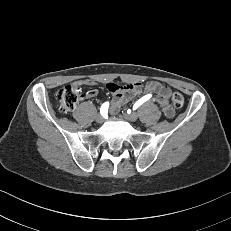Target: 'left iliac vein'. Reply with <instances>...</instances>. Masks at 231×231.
<instances>
[{
  "instance_id": "left-iliac-vein-1",
  "label": "left iliac vein",
  "mask_w": 231,
  "mask_h": 231,
  "mask_svg": "<svg viewBox=\"0 0 231 231\" xmlns=\"http://www.w3.org/2000/svg\"><path fill=\"white\" fill-rule=\"evenodd\" d=\"M123 116L126 120L131 121V122H134L138 119V115L135 112L125 113Z\"/></svg>"
}]
</instances>
